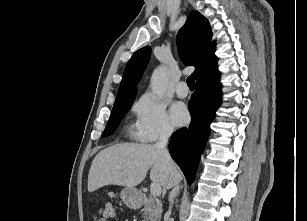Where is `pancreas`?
Returning <instances> with one entry per match:
<instances>
[{
  "mask_svg": "<svg viewBox=\"0 0 307 221\" xmlns=\"http://www.w3.org/2000/svg\"><path fill=\"white\" fill-rule=\"evenodd\" d=\"M144 208L142 209L143 221H160L162 213V203L152 197L144 198Z\"/></svg>",
  "mask_w": 307,
  "mask_h": 221,
  "instance_id": "pancreas-1",
  "label": "pancreas"
}]
</instances>
